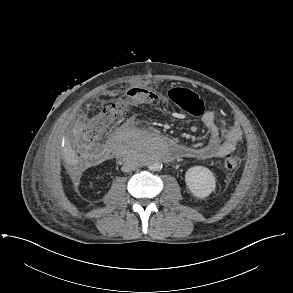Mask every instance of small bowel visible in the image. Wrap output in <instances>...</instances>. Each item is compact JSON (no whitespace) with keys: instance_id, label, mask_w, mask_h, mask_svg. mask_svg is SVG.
Wrapping results in <instances>:
<instances>
[{"instance_id":"1","label":"small bowel","mask_w":293,"mask_h":293,"mask_svg":"<svg viewBox=\"0 0 293 293\" xmlns=\"http://www.w3.org/2000/svg\"><path fill=\"white\" fill-rule=\"evenodd\" d=\"M155 100L153 94L152 102ZM193 113L201 115V120L208 131V141L204 146L181 147V157L198 160L221 158L226 152L234 151L237 148L243 138L242 130L237 125L217 126L213 115L205 112L201 99Z\"/></svg>"}]
</instances>
